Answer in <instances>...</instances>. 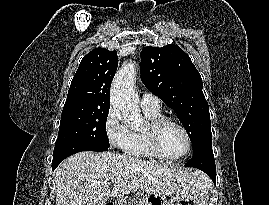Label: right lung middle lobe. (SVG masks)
<instances>
[{
  "label": "right lung middle lobe",
  "mask_w": 269,
  "mask_h": 205,
  "mask_svg": "<svg viewBox=\"0 0 269 205\" xmlns=\"http://www.w3.org/2000/svg\"><path fill=\"white\" fill-rule=\"evenodd\" d=\"M108 111L109 107H64L55 146L78 142L109 148L106 132Z\"/></svg>",
  "instance_id": "right-lung-middle-lobe-1"
}]
</instances>
